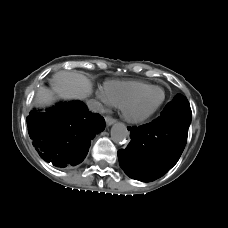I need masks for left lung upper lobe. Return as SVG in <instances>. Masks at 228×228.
Segmentation results:
<instances>
[{
  "label": "left lung upper lobe",
  "mask_w": 228,
  "mask_h": 228,
  "mask_svg": "<svg viewBox=\"0 0 228 228\" xmlns=\"http://www.w3.org/2000/svg\"><path fill=\"white\" fill-rule=\"evenodd\" d=\"M164 112H176L184 115H191V108L187 98L182 94H177L174 99L167 104Z\"/></svg>",
  "instance_id": "5c2ea615"
}]
</instances>
